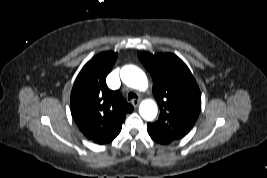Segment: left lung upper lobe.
I'll list each match as a JSON object with an SVG mask.
<instances>
[{
    "mask_svg": "<svg viewBox=\"0 0 267 178\" xmlns=\"http://www.w3.org/2000/svg\"><path fill=\"white\" fill-rule=\"evenodd\" d=\"M138 58L153 79V94L160 106L159 119L148 131L165 144L183 138L201 110V94L186 64L171 53H139Z\"/></svg>",
    "mask_w": 267,
    "mask_h": 178,
    "instance_id": "left-lung-upper-lobe-1",
    "label": "left lung upper lobe"
}]
</instances>
